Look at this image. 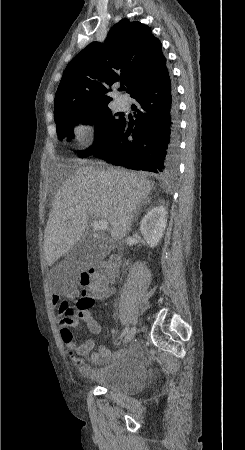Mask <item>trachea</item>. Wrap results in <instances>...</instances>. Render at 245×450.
<instances>
[{
    "label": "trachea",
    "mask_w": 245,
    "mask_h": 450,
    "mask_svg": "<svg viewBox=\"0 0 245 450\" xmlns=\"http://www.w3.org/2000/svg\"><path fill=\"white\" fill-rule=\"evenodd\" d=\"M121 90L124 91V90H125V87H121Z\"/></svg>",
    "instance_id": "obj_1"
}]
</instances>
